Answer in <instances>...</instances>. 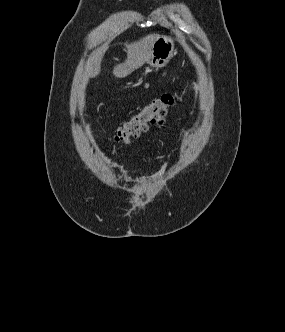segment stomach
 I'll return each instance as SVG.
<instances>
[{"instance_id": "0dacf381", "label": "stomach", "mask_w": 285, "mask_h": 332, "mask_svg": "<svg viewBox=\"0 0 285 332\" xmlns=\"http://www.w3.org/2000/svg\"><path fill=\"white\" fill-rule=\"evenodd\" d=\"M175 54L174 40L169 36H159L153 45L148 63L158 69L164 67Z\"/></svg>"}]
</instances>
